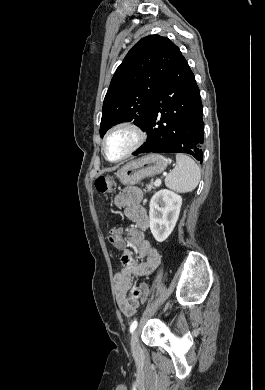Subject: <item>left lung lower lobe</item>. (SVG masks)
I'll use <instances>...</instances> for the list:
<instances>
[{"instance_id":"obj_1","label":"left lung lower lobe","mask_w":265,"mask_h":390,"mask_svg":"<svg viewBox=\"0 0 265 390\" xmlns=\"http://www.w3.org/2000/svg\"><path fill=\"white\" fill-rule=\"evenodd\" d=\"M144 130L148 134L147 141L134 155L186 153L203 161L204 124L200 91L183 55L156 93Z\"/></svg>"}]
</instances>
